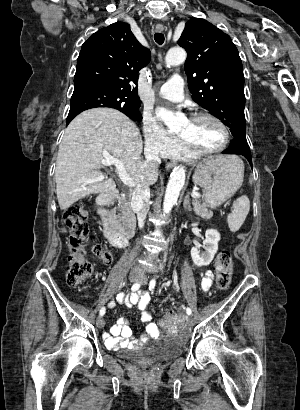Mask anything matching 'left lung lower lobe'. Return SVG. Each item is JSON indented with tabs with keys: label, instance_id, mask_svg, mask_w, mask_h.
Returning a JSON list of instances; mask_svg holds the SVG:
<instances>
[{
	"label": "left lung lower lobe",
	"instance_id": "obj_1",
	"mask_svg": "<svg viewBox=\"0 0 300 410\" xmlns=\"http://www.w3.org/2000/svg\"><path fill=\"white\" fill-rule=\"evenodd\" d=\"M222 153L243 155L247 158L250 165L252 166L250 148L246 140H243L241 138H234L231 142V146L224 150Z\"/></svg>",
	"mask_w": 300,
	"mask_h": 410
}]
</instances>
